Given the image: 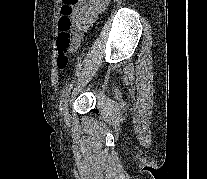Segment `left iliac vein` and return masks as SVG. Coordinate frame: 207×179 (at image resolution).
<instances>
[{"label":"left iliac vein","mask_w":207,"mask_h":179,"mask_svg":"<svg viewBox=\"0 0 207 179\" xmlns=\"http://www.w3.org/2000/svg\"><path fill=\"white\" fill-rule=\"evenodd\" d=\"M62 115H63V119L65 122H68L70 119V114H69V110H68V103L66 102V104L63 106V109L61 111Z\"/></svg>","instance_id":"1"}]
</instances>
